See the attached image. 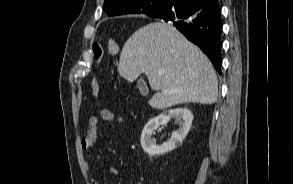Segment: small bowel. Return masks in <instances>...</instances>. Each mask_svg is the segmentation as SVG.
Masks as SVG:
<instances>
[{"label":"small bowel","instance_id":"c3829d8e","mask_svg":"<svg viewBox=\"0 0 293 184\" xmlns=\"http://www.w3.org/2000/svg\"><path fill=\"white\" fill-rule=\"evenodd\" d=\"M101 120L106 122H118V123L125 122L124 117L114 113L113 111L109 109L100 110L99 117L92 116L88 121V128H87L86 134L81 140V148L84 152H87L95 144L97 135H98L99 124ZM87 167H89L88 163H87ZM109 173L112 176H116L118 174V168L115 166L110 167ZM91 184H101V182L96 179H92Z\"/></svg>","mask_w":293,"mask_h":184}]
</instances>
